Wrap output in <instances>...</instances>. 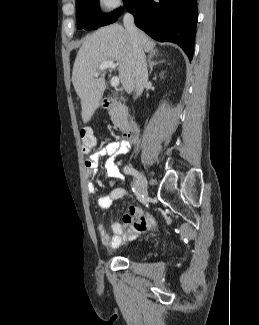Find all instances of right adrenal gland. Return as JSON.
Returning <instances> with one entry per match:
<instances>
[{"label": "right adrenal gland", "instance_id": "2a0ac1e0", "mask_svg": "<svg viewBox=\"0 0 259 325\" xmlns=\"http://www.w3.org/2000/svg\"><path fill=\"white\" fill-rule=\"evenodd\" d=\"M159 55V52L158 51H153L151 52L149 55H148V63H149V68H150V71L149 73L151 74L152 71H153V67L158 64V63H162L163 61H159V62H154L152 61L153 57H156Z\"/></svg>", "mask_w": 259, "mask_h": 325}]
</instances>
